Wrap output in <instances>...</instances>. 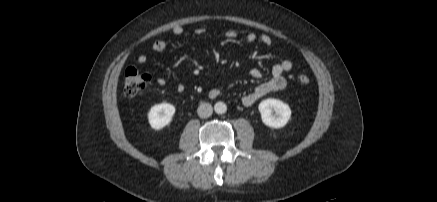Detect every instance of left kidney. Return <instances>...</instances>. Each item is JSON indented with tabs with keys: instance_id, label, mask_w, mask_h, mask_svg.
<instances>
[{
	"instance_id": "1",
	"label": "left kidney",
	"mask_w": 437,
	"mask_h": 202,
	"mask_svg": "<svg viewBox=\"0 0 437 202\" xmlns=\"http://www.w3.org/2000/svg\"><path fill=\"white\" fill-rule=\"evenodd\" d=\"M262 122L272 128L284 127L291 117L290 107L278 99L268 98L258 106Z\"/></svg>"
}]
</instances>
